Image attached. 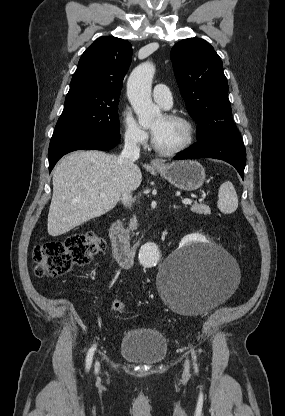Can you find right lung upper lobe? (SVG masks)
<instances>
[{"label":"right lung upper lobe","mask_w":285,"mask_h":416,"mask_svg":"<svg viewBox=\"0 0 285 416\" xmlns=\"http://www.w3.org/2000/svg\"><path fill=\"white\" fill-rule=\"evenodd\" d=\"M132 46L120 38H98L81 56L67 96L81 99L119 98L130 66Z\"/></svg>","instance_id":"right-lung-upper-lobe-1"}]
</instances>
